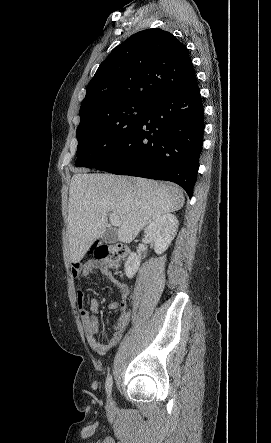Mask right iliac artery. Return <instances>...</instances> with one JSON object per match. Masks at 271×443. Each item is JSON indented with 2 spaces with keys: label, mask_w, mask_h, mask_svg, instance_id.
Listing matches in <instances>:
<instances>
[{
  "label": "right iliac artery",
  "mask_w": 271,
  "mask_h": 443,
  "mask_svg": "<svg viewBox=\"0 0 271 443\" xmlns=\"http://www.w3.org/2000/svg\"><path fill=\"white\" fill-rule=\"evenodd\" d=\"M105 388H106L107 395L110 396L111 391H112V376L111 375H108V377L106 379Z\"/></svg>",
  "instance_id": "82829eb1"
}]
</instances>
